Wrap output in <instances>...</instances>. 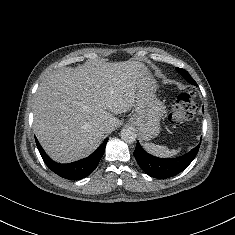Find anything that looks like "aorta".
<instances>
[{"instance_id": "762f6f07", "label": "aorta", "mask_w": 235, "mask_h": 235, "mask_svg": "<svg viewBox=\"0 0 235 235\" xmlns=\"http://www.w3.org/2000/svg\"><path fill=\"white\" fill-rule=\"evenodd\" d=\"M121 139L126 143H133L136 140L137 134L132 128H124L121 130Z\"/></svg>"}]
</instances>
